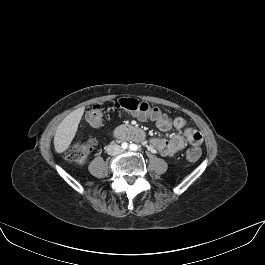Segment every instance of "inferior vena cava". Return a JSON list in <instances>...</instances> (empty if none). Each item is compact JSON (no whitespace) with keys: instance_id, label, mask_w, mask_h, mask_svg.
<instances>
[{"instance_id":"obj_1","label":"inferior vena cava","mask_w":265,"mask_h":265,"mask_svg":"<svg viewBox=\"0 0 265 265\" xmlns=\"http://www.w3.org/2000/svg\"><path fill=\"white\" fill-rule=\"evenodd\" d=\"M106 152L111 156H116L121 154L123 152V149L117 144H110L106 147Z\"/></svg>"}]
</instances>
